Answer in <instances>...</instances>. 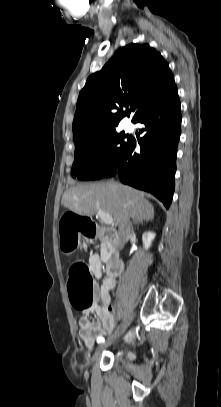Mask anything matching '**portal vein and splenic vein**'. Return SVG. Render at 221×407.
I'll list each match as a JSON object with an SVG mask.
<instances>
[{"instance_id": "obj_1", "label": "portal vein and splenic vein", "mask_w": 221, "mask_h": 407, "mask_svg": "<svg viewBox=\"0 0 221 407\" xmlns=\"http://www.w3.org/2000/svg\"><path fill=\"white\" fill-rule=\"evenodd\" d=\"M98 216L100 217V219L102 220V222H104L105 224H113L114 220L112 218V216L109 213L104 212L103 210L99 209L97 211Z\"/></svg>"}]
</instances>
